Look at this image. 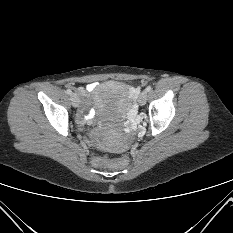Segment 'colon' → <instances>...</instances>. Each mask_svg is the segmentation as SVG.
<instances>
[{
	"label": "colon",
	"mask_w": 233,
	"mask_h": 233,
	"mask_svg": "<svg viewBox=\"0 0 233 233\" xmlns=\"http://www.w3.org/2000/svg\"><path fill=\"white\" fill-rule=\"evenodd\" d=\"M94 164L96 166H102V165H115V162H112L110 159H108L106 156H96L93 160Z\"/></svg>",
	"instance_id": "colon-1"
}]
</instances>
